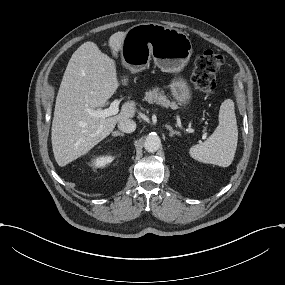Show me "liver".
<instances>
[{"label":"liver","instance_id":"obj_1","mask_svg":"<svg viewBox=\"0 0 285 285\" xmlns=\"http://www.w3.org/2000/svg\"><path fill=\"white\" fill-rule=\"evenodd\" d=\"M126 32L109 38L113 56L117 57ZM119 86L115 61L102 53L93 42L83 43L71 56L56 97L52 121V149L61 167L88 153L106 138L122 119L135 115L136 103L125 102L118 115L91 117L86 108H100Z\"/></svg>","mask_w":285,"mask_h":285}]
</instances>
